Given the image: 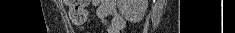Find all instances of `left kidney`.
<instances>
[{"mask_svg":"<svg viewBox=\"0 0 235 33\" xmlns=\"http://www.w3.org/2000/svg\"><path fill=\"white\" fill-rule=\"evenodd\" d=\"M148 7V0H118V9L124 18L130 22L143 19Z\"/></svg>","mask_w":235,"mask_h":33,"instance_id":"left-kidney-1","label":"left kidney"}]
</instances>
